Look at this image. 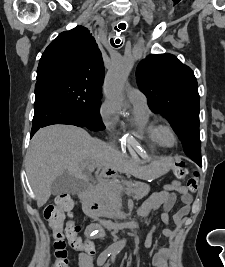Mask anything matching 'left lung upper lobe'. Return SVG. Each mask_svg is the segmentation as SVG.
Here are the masks:
<instances>
[{"mask_svg":"<svg viewBox=\"0 0 225 267\" xmlns=\"http://www.w3.org/2000/svg\"><path fill=\"white\" fill-rule=\"evenodd\" d=\"M137 84L154 113L165 117L182 141L186 155L202 164L199 94L193 71L171 54L150 55L136 71Z\"/></svg>","mask_w":225,"mask_h":267,"instance_id":"obj_1","label":"left lung upper lobe"}]
</instances>
